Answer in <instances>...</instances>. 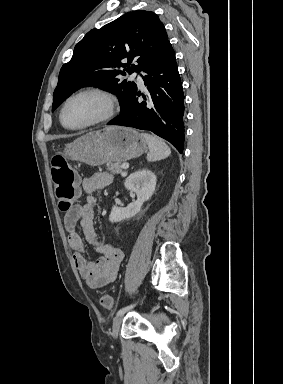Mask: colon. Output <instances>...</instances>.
I'll return each instance as SVG.
<instances>
[{
  "mask_svg": "<svg viewBox=\"0 0 283 384\" xmlns=\"http://www.w3.org/2000/svg\"><path fill=\"white\" fill-rule=\"evenodd\" d=\"M51 173L59 207L63 211H68L72 208L77 197L75 172L62 156L56 155L52 159ZM100 305L106 310H111L113 308L112 297L108 294H103L100 297Z\"/></svg>",
  "mask_w": 283,
  "mask_h": 384,
  "instance_id": "colon-1",
  "label": "colon"
}]
</instances>
